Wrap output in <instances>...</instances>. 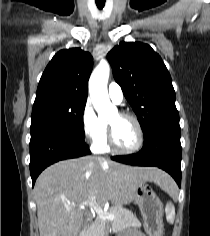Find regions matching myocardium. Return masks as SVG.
I'll return each instance as SVG.
<instances>
[{
    "mask_svg": "<svg viewBox=\"0 0 210 236\" xmlns=\"http://www.w3.org/2000/svg\"><path fill=\"white\" fill-rule=\"evenodd\" d=\"M119 116L131 119L135 123L136 128H137V133H138V140H137L136 145L130 149L120 148L115 143L112 126L110 123H108L107 142H108L109 148L113 152L118 153V154H123V155L136 153L142 148L143 143H144V130H143L142 124H141L140 120L138 119V117L132 113L120 112Z\"/></svg>",
    "mask_w": 210,
    "mask_h": 236,
    "instance_id": "1",
    "label": "myocardium"
}]
</instances>
